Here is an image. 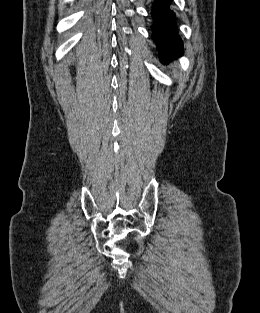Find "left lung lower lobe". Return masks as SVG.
I'll list each match as a JSON object with an SVG mask.
<instances>
[{
    "instance_id": "obj_1",
    "label": "left lung lower lobe",
    "mask_w": 260,
    "mask_h": 313,
    "mask_svg": "<svg viewBox=\"0 0 260 313\" xmlns=\"http://www.w3.org/2000/svg\"><path fill=\"white\" fill-rule=\"evenodd\" d=\"M171 0H155L152 9L153 40L157 43L161 62L168 63L183 54V43L177 33L175 14L170 10Z\"/></svg>"
}]
</instances>
